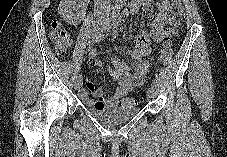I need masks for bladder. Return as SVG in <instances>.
Here are the masks:
<instances>
[{
    "instance_id": "31cf9c89",
    "label": "bladder",
    "mask_w": 227,
    "mask_h": 157,
    "mask_svg": "<svg viewBox=\"0 0 227 157\" xmlns=\"http://www.w3.org/2000/svg\"><path fill=\"white\" fill-rule=\"evenodd\" d=\"M139 109L136 107H108L92 109L91 113L101 122L115 125L126 122L137 115Z\"/></svg>"
}]
</instances>
